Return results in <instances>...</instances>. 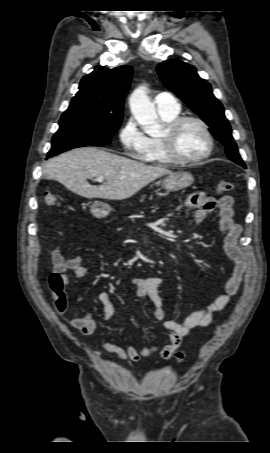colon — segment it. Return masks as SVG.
Returning <instances> with one entry per match:
<instances>
[{
  "instance_id": "5ec220e1",
  "label": "colon",
  "mask_w": 270,
  "mask_h": 453,
  "mask_svg": "<svg viewBox=\"0 0 270 453\" xmlns=\"http://www.w3.org/2000/svg\"><path fill=\"white\" fill-rule=\"evenodd\" d=\"M234 188L232 182L227 180H222L217 185V191L219 193L230 192ZM45 203L50 207L59 206V200L57 196L53 193L47 192L45 194ZM49 286L54 298V306L58 312H64L68 306V298L64 289V282L59 274L53 273L49 279ZM185 358L183 352H178L176 354V359L182 361Z\"/></svg>"
}]
</instances>
